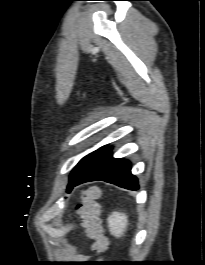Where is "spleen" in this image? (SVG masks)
Masks as SVG:
<instances>
[{
    "label": "spleen",
    "instance_id": "obj_1",
    "mask_svg": "<svg viewBox=\"0 0 205 265\" xmlns=\"http://www.w3.org/2000/svg\"><path fill=\"white\" fill-rule=\"evenodd\" d=\"M107 223L110 233L120 238L127 229L128 217L124 212L114 211L108 216Z\"/></svg>",
    "mask_w": 205,
    "mask_h": 265
}]
</instances>
